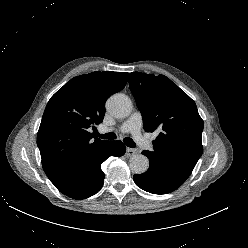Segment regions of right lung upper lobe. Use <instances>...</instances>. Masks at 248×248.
<instances>
[{
  "mask_svg": "<svg viewBox=\"0 0 248 248\" xmlns=\"http://www.w3.org/2000/svg\"><path fill=\"white\" fill-rule=\"evenodd\" d=\"M129 74L92 72L71 79L49 100L37 134L43 169L50 179L61 176L73 161L108 141L90 133L101 123L107 98L121 90Z\"/></svg>",
  "mask_w": 248,
  "mask_h": 248,
  "instance_id": "right-lung-upper-lobe-1",
  "label": "right lung upper lobe"
}]
</instances>
